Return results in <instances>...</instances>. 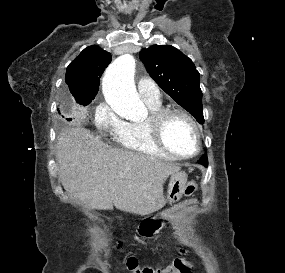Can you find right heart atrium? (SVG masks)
Listing matches in <instances>:
<instances>
[{"label":"right heart atrium","instance_id":"d8ad5b80","mask_svg":"<svg viewBox=\"0 0 285 273\" xmlns=\"http://www.w3.org/2000/svg\"><path fill=\"white\" fill-rule=\"evenodd\" d=\"M94 124L98 130L116 137L124 127L125 121L106 101H102L95 108Z\"/></svg>","mask_w":285,"mask_h":273}]
</instances>
